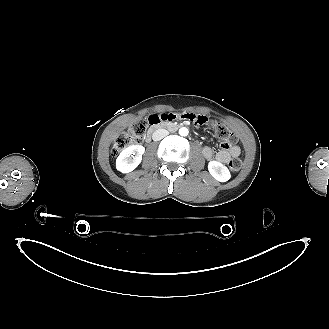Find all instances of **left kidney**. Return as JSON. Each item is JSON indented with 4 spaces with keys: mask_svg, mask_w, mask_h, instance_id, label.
<instances>
[{
    "mask_svg": "<svg viewBox=\"0 0 329 329\" xmlns=\"http://www.w3.org/2000/svg\"><path fill=\"white\" fill-rule=\"evenodd\" d=\"M208 170L212 177L219 182H226L231 177L228 168L218 161H210Z\"/></svg>",
    "mask_w": 329,
    "mask_h": 329,
    "instance_id": "obj_1",
    "label": "left kidney"
}]
</instances>
